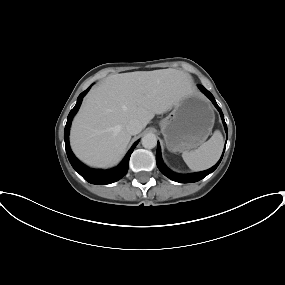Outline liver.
<instances>
[{
  "instance_id": "1",
  "label": "liver",
  "mask_w": 285,
  "mask_h": 285,
  "mask_svg": "<svg viewBox=\"0 0 285 285\" xmlns=\"http://www.w3.org/2000/svg\"><path fill=\"white\" fill-rule=\"evenodd\" d=\"M194 91L191 76L172 68L110 75L85 97L72 122L71 148L87 165H114L130 142V120L143 129Z\"/></svg>"
}]
</instances>
